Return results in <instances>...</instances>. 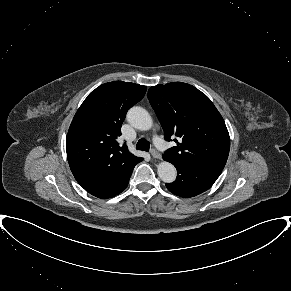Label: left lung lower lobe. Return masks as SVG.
I'll return each instance as SVG.
<instances>
[{
	"label": "left lung lower lobe",
	"instance_id": "left-lung-lower-lobe-1",
	"mask_svg": "<svg viewBox=\"0 0 291 291\" xmlns=\"http://www.w3.org/2000/svg\"><path fill=\"white\" fill-rule=\"evenodd\" d=\"M177 168V178L166 187L173 194L190 198L208 190L217 180L223 169L208 166L180 163L172 158L163 157Z\"/></svg>",
	"mask_w": 291,
	"mask_h": 291
}]
</instances>
